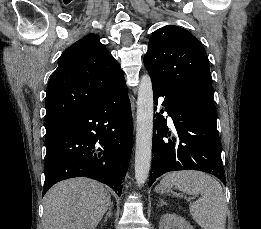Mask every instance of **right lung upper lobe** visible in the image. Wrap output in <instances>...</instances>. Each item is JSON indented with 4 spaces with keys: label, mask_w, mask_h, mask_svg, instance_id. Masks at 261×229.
Instances as JSON below:
<instances>
[{
    "label": "right lung upper lobe",
    "mask_w": 261,
    "mask_h": 229,
    "mask_svg": "<svg viewBox=\"0 0 261 229\" xmlns=\"http://www.w3.org/2000/svg\"><path fill=\"white\" fill-rule=\"evenodd\" d=\"M123 82L122 70L98 36L89 34L78 40L63 52L48 82L46 130H55Z\"/></svg>",
    "instance_id": "1"
}]
</instances>
